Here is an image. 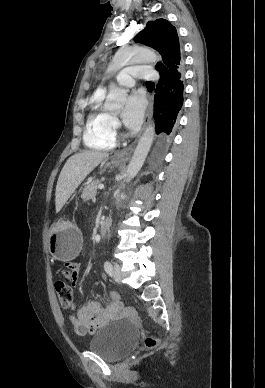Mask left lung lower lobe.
<instances>
[{"mask_svg":"<svg viewBox=\"0 0 265 388\" xmlns=\"http://www.w3.org/2000/svg\"><path fill=\"white\" fill-rule=\"evenodd\" d=\"M183 93V64L160 74L154 98L155 130L158 134L153 156L154 163L159 162L163 151L175 134L178 117L183 106Z\"/></svg>","mask_w":265,"mask_h":388,"instance_id":"left-lung-lower-lobe-1","label":"left lung lower lobe"}]
</instances>
